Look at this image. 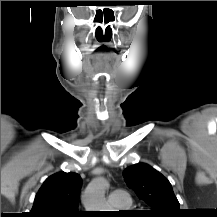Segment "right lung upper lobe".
<instances>
[{"mask_svg":"<svg viewBox=\"0 0 217 217\" xmlns=\"http://www.w3.org/2000/svg\"><path fill=\"white\" fill-rule=\"evenodd\" d=\"M81 177L73 172H59L48 177L38 191L29 217H78Z\"/></svg>","mask_w":217,"mask_h":217,"instance_id":"cb5924a9","label":"right lung upper lobe"}]
</instances>
